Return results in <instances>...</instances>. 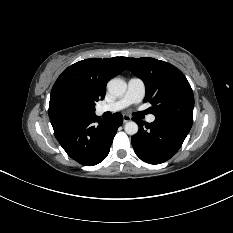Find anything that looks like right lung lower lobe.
Returning <instances> with one entry per match:
<instances>
[{"label":"right lung lower lobe","instance_id":"1","mask_svg":"<svg viewBox=\"0 0 233 233\" xmlns=\"http://www.w3.org/2000/svg\"><path fill=\"white\" fill-rule=\"evenodd\" d=\"M50 121L55 137L66 153L82 165L93 166L108 155L123 116L115 113L108 120H97L95 113H92L58 116Z\"/></svg>","mask_w":233,"mask_h":233}]
</instances>
